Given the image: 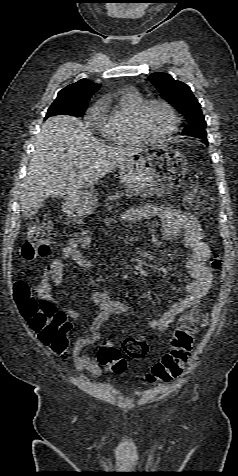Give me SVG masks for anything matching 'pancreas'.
<instances>
[{"label": "pancreas", "mask_w": 238, "mask_h": 476, "mask_svg": "<svg viewBox=\"0 0 238 476\" xmlns=\"http://www.w3.org/2000/svg\"><path fill=\"white\" fill-rule=\"evenodd\" d=\"M120 196H122L121 193H118L117 196H110V197H108V201H109L108 204H111V202H112L114 199H116V198H118V197H120Z\"/></svg>", "instance_id": "obj_1"}]
</instances>
